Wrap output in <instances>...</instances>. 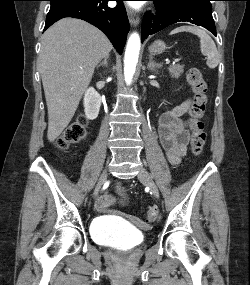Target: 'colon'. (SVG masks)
I'll return each instance as SVG.
<instances>
[{
  "label": "colon",
  "instance_id": "1",
  "mask_svg": "<svg viewBox=\"0 0 250 285\" xmlns=\"http://www.w3.org/2000/svg\"><path fill=\"white\" fill-rule=\"evenodd\" d=\"M187 81L193 90V103L190 108L192 137L190 148L194 155L202 153L206 143V132L202 117L204 116L207 105V83L197 68H190L187 71ZM87 135V120L84 116H79L70 124L57 140L59 149H66L72 144L85 139ZM158 216L155 208L149 209L145 214L147 222H153Z\"/></svg>",
  "mask_w": 250,
  "mask_h": 285
}]
</instances>
